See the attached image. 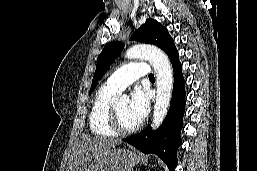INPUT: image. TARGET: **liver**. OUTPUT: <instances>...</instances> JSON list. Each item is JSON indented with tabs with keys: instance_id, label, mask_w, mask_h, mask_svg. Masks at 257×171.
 <instances>
[{
	"instance_id": "1",
	"label": "liver",
	"mask_w": 257,
	"mask_h": 171,
	"mask_svg": "<svg viewBox=\"0 0 257 171\" xmlns=\"http://www.w3.org/2000/svg\"><path fill=\"white\" fill-rule=\"evenodd\" d=\"M119 144H121V140L117 139L83 137L81 141L74 146L68 158L66 171H88L92 159L95 160L103 152Z\"/></svg>"
}]
</instances>
